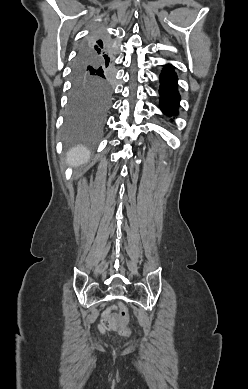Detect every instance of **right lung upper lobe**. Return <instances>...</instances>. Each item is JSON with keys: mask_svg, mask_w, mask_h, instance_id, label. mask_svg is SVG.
<instances>
[{"mask_svg": "<svg viewBox=\"0 0 248 389\" xmlns=\"http://www.w3.org/2000/svg\"><path fill=\"white\" fill-rule=\"evenodd\" d=\"M93 39V37L90 38L89 42ZM89 42L87 44H89ZM103 43V45H102ZM104 46L107 48L104 49ZM91 51L93 52L92 56L94 59L102 60L105 63L110 64L111 63V47L110 45L105 41H100L98 45H92Z\"/></svg>", "mask_w": 248, "mask_h": 389, "instance_id": "obj_1", "label": "right lung upper lobe"}]
</instances>
